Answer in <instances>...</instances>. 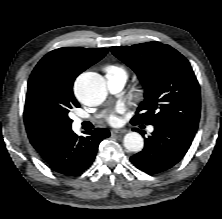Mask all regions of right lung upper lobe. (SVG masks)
Here are the masks:
<instances>
[{"label":"right lung upper lobe","instance_id":"cb5924a9","mask_svg":"<svg viewBox=\"0 0 222 219\" xmlns=\"http://www.w3.org/2000/svg\"><path fill=\"white\" fill-rule=\"evenodd\" d=\"M104 48H59L46 54L34 68L32 75L41 67L51 73V87L55 94L73 96L75 78L107 53ZM75 98V97H74ZM24 122L29 140L45 161L58 151L61 143L72 132L71 125L44 117L31 107L30 79L26 95Z\"/></svg>","mask_w":222,"mask_h":219}]
</instances>
